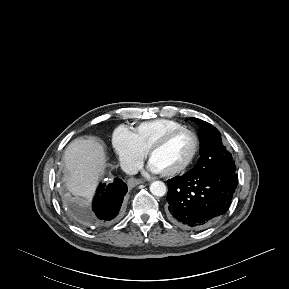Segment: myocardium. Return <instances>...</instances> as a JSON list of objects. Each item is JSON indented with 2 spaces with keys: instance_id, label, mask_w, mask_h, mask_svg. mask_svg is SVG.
<instances>
[{
  "instance_id": "myocardium-1",
  "label": "myocardium",
  "mask_w": 289,
  "mask_h": 289,
  "mask_svg": "<svg viewBox=\"0 0 289 289\" xmlns=\"http://www.w3.org/2000/svg\"><path fill=\"white\" fill-rule=\"evenodd\" d=\"M190 134L194 140V148L193 151L190 155V157L179 167L168 171V172H162L160 173L162 176L164 177H174L177 175H180L182 173H184L195 161L199 150H200V138L198 136V134L188 128H180V129H176L173 131L168 132L167 134H165L164 136H162L160 139H158L155 143H153L150 148L147 150V159L150 162V159L152 157V155L157 152L158 150L162 149L164 146H166L173 138H175L176 136L180 135V134Z\"/></svg>"
}]
</instances>
